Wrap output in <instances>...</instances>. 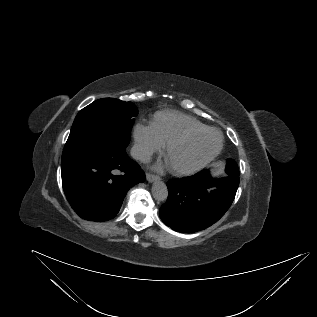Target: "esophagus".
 I'll return each instance as SVG.
<instances>
[{"label": "esophagus", "instance_id": "1", "mask_svg": "<svg viewBox=\"0 0 317 317\" xmlns=\"http://www.w3.org/2000/svg\"><path fill=\"white\" fill-rule=\"evenodd\" d=\"M159 179V177L158 176H156V175H154V174H151V173H147L146 174V180L148 181V182H154V181H157Z\"/></svg>", "mask_w": 317, "mask_h": 317}]
</instances>
